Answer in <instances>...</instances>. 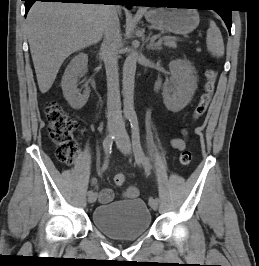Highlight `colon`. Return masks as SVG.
<instances>
[{"label":"colon","mask_w":259,"mask_h":266,"mask_svg":"<svg viewBox=\"0 0 259 266\" xmlns=\"http://www.w3.org/2000/svg\"><path fill=\"white\" fill-rule=\"evenodd\" d=\"M216 72L213 69L206 71V82L204 91L193 111V118H201L207 111L214 91ZM45 117L48 123V131L51 141L57 147V157L65 164H72L78 153V145L74 139L76 121L57 102H49L45 106ZM192 154L189 150H183L179 156V162L183 166L191 163ZM125 175L118 173L114 177L117 186L124 185Z\"/></svg>","instance_id":"1"}]
</instances>
